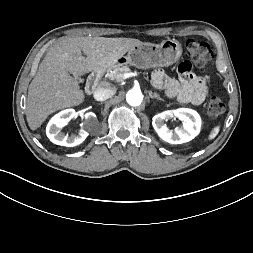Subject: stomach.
Here are the masks:
<instances>
[{
	"mask_svg": "<svg viewBox=\"0 0 253 253\" xmlns=\"http://www.w3.org/2000/svg\"><path fill=\"white\" fill-rule=\"evenodd\" d=\"M181 55V44L174 39H167L160 44L142 43L129 50L126 56L120 57L116 64H130L139 69L164 67L177 62Z\"/></svg>",
	"mask_w": 253,
	"mask_h": 253,
	"instance_id": "obj_1",
	"label": "stomach"
}]
</instances>
